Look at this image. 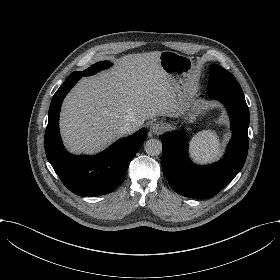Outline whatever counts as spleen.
I'll return each mask as SVG.
<instances>
[{"instance_id": "spleen-1", "label": "spleen", "mask_w": 280, "mask_h": 280, "mask_svg": "<svg viewBox=\"0 0 280 280\" xmlns=\"http://www.w3.org/2000/svg\"><path fill=\"white\" fill-rule=\"evenodd\" d=\"M221 143L218 135L211 130L198 132L190 142V154L195 162L215 161L221 155Z\"/></svg>"}]
</instances>
